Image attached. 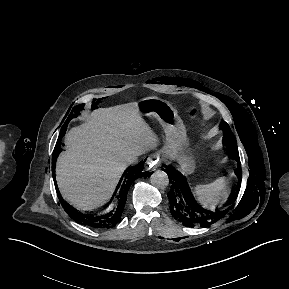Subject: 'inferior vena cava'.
Masks as SVG:
<instances>
[{"mask_svg":"<svg viewBox=\"0 0 289 289\" xmlns=\"http://www.w3.org/2000/svg\"><path fill=\"white\" fill-rule=\"evenodd\" d=\"M137 162V157H132L129 161V164H135Z\"/></svg>","mask_w":289,"mask_h":289,"instance_id":"inferior-vena-cava-1","label":"inferior vena cava"}]
</instances>
